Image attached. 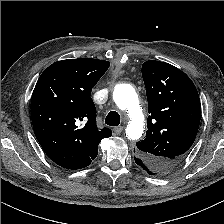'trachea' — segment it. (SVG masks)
I'll use <instances>...</instances> for the list:
<instances>
[{
    "label": "trachea",
    "mask_w": 224,
    "mask_h": 224,
    "mask_svg": "<svg viewBox=\"0 0 224 224\" xmlns=\"http://www.w3.org/2000/svg\"><path fill=\"white\" fill-rule=\"evenodd\" d=\"M105 123L109 126H118L120 124V115L118 114V112H109L106 116Z\"/></svg>",
    "instance_id": "1"
}]
</instances>
